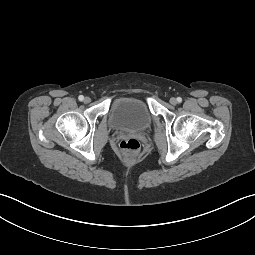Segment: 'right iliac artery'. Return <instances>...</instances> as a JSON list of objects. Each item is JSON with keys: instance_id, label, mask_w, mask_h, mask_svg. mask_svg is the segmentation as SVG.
I'll list each match as a JSON object with an SVG mask.
<instances>
[{"instance_id": "obj_1", "label": "right iliac artery", "mask_w": 255, "mask_h": 255, "mask_svg": "<svg viewBox=\"0 0 255 255\" xmlns=\"http://www.w3.org/2000/svg\"><path fill=\"white\" fill-rule=\"evenodd\" d=\"M78 99H79L80 101H83V100H84V96H83V95H80V96L78 97Z\"/></svg>"}]
</instances>
